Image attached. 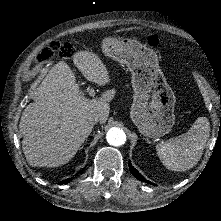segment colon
<instances>
[{
  "label": "colon",
  "mask_w": 221,
  "mask_h": 221,
  "mask_svg": "<svg viewBox=\"0 0 221 221\" xmlns=\"http://www.w3.org/2000/svg\"><path fill=\"white\" fill-rule=\"evenodd\" d=\"M147 44L152 48L159 46V41L156 37L150 36L147 40ZM74 47L68 42H52L47 46H44L35 56L34 63L37 65L44 64L51 61L56 55L61 58L67 59L74 54Z\"/></svg>",
  "instance_id": "5ec220e1"
}]
</instances>
